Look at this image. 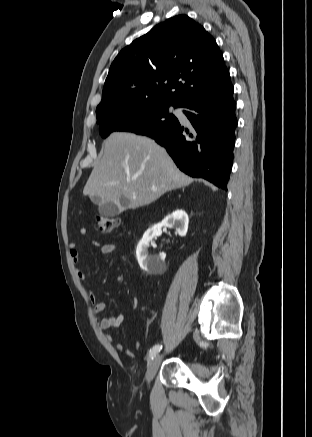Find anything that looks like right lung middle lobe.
I'll list each match as a JSON object with an SVG mask.
<instances>
[{
  "label": "right lung middle lobe",
  "instance_id": "1",
  "mask_svg": "<svg viewBox=\"0 0 312 437\" xmlns=\"http://www.w3.org/2000/svg\"><path fill=\"white\" fill-rule=\"evenodd\" d=\"M171 105L164 102H150L116 109L97 120L100 124V135L106 138L112 132L126 131L148 136L161 132L178 121L169 113Z\"/></svg>",
  "mask_w": 312,
  "mask_h": 437
}]
</instances>
